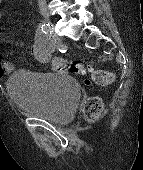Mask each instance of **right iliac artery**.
<instances>
[{
	"label": "right iliac artery",
	"instance_id": "1",
	"mask_svg": "<svg viewBox=\"0 0 143 170\" xmlns=\"http://www.w3.org/2000/svg\"><path fill=\"white\" fill-rule=\"evenodd\" d=\"M39 30L42 32V33H45V34H51L52 32V27L49 25V24H41L39 26Z\"/></svg>",
	"mask_w": 143,
	"mask_h": 170
}]
</instances>
